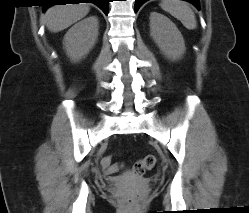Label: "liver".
<instances>
[{
  "instance_id": "1",
  "label": "liver",
  "mask_w": 249,
  "mask_h": 213,
  "mask_svg": "<svg viewBox=\"0 0 249 213\" xmlns=\"http://www.w3.org/2000/svg\"><path fill=\"white\" fill-rule=\"evenodd\" d=\"M87 3L55 5L47 9L43 21L51 32L62 31L89 13Z\"/></svg>"
}]
</instances>
